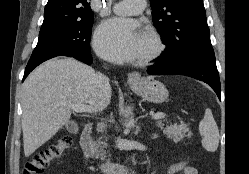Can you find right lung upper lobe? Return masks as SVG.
<instances>
[{"label":"right lung upper lobe","mask_w":249,"mask_h":174,"mask_svg":"<svg viewBox=\"0 0 249 174\" xmlns=\"http://www.w3.org/2000/svg\"><path fill=\"white\" fill-rule=\"evenodd\" d=\"M90 0H48L42 27L93 17Z\"/></svg>","instance_id":"1"}]
</instances>
